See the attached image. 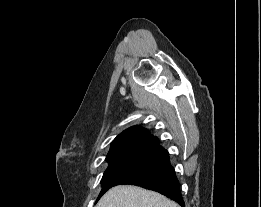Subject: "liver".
Returning a JSON list of instances; mask_svg holds the SVG:
<instances>
[{"label": "liver", "instance_id": "1", "mask_svg": "<svg viewBox=\"0 0 261 207\" xmlns=\"http://www.w3.org/2000/svg\"><path fill=\"white\" fill-rule=\"evenodd\" d=\"M97 207H180L165 196L138 186L120 185L111 188Z\"/></svg>", "mask_w": 261, "mask_h": 207}]
</instances>
